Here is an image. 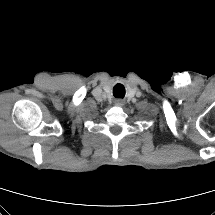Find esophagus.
Listing matches in <instances>:
<instances>
[{"mask_svg":"<svg viewBox=\"0 0 215 215\" xmlns=\"http://www.w3.org/2000/svg\"><path fill=\"white\" fill-rule=\"evenodd\" d=\"M115 104L117 106H122L124 104V102L122 100H116Z\"/></svg>","mask_w":215,"mask_h":215,"instance_id":"1","label":"esophagus"}]
</instances>
